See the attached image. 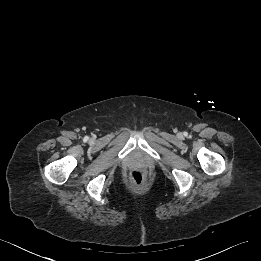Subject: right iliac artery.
Returning a JSON list of instances; mask_svg holds the SVG:
<instances>
[{"label":"right iliac artery","instance_id":"right-iliac-artery-1","mask_svg":"<svg viewBox=\"0 0 261 261\" xmlns=\"http://www.w3.org/2000/svg\"><path fill=\"white\" fill-rule=\"evenodd\" d=\"M88 139V137H85V140H87Z\"/></svg>","mask_w":261,"mask_h":261}]
</instances>
